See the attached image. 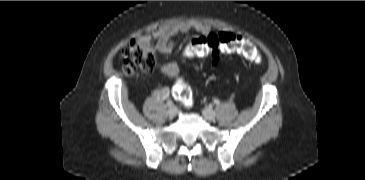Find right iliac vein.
<instances>
[{
    "instance_id": "obj_1",
    "label": "right iliac vein",
    "mask_w": 365,
    "mask_h": 180,
    "mask_svg": "<svg viewBox=\"0 0 365 180\" xmlns=\"http://www.w3.org/2000/svg\"><path fill=\"white\" fill-rule=\"evenodd\" d=\"M177 112H178V109L176 107L172 106L168 109L167 113L170 118H174L176 116Z\"/></svg>"
}]
</instances>
